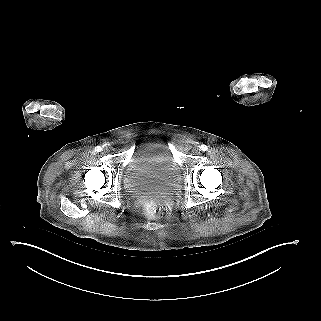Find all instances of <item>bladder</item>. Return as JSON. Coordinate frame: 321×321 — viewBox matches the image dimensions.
<instances>
[{
    "instance_id": "1",
    "label": "bladder",
    "mask_w": 321,
    "mask_h": 321,
    "mask_svg": "<svg viewBox=\"0 0 321 321\" xmlns=\"http://www.w3.org/2000/svg\"><path fill=\"white\" fill-rule=\"evenodd\" d=\"M181 168L170 147L162 142L140 144L126 164L122 182L131 195L164 194L181 182Z\"/></svg>"
}]
</instances>
